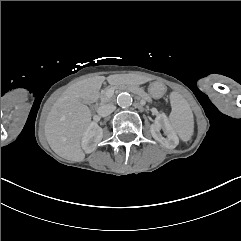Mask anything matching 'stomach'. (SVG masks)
Returning a JSON list of instances; mask_svg holds the SVG:
<instances>
[{"mask_svg":"<svg viewBox=\"0 0 241 241\" xmlns=\"http://www.w3.org/2000/svg\"><path fill=\"white\" fill-rule=\"evenodd\" d=\"M148 92L151 97L159 99L166 93V86L161 82L155 81L149 85Z\"/></svg>","mask_w":241,"mask_h":241,"instance_id":"1","label":"stomach"}]
</instances>
